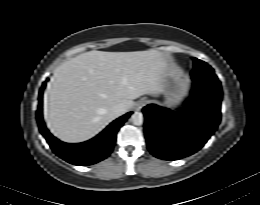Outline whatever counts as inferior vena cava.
Here are the masks:
<instances>
[{
  "label": "inferior vena cava",
  "instance_id": "602c4592",
  "mask_svg": "<svg viewBox=\"0 0 260 205\" xmlns=\"http://www.w3.org/2000/svg\"><path fill=\"white\" fill-rule=\"evenodd\" d=\"M127 111V108L125 105L123 104H118V105H115L112 110H111V113L114 117H118L122 114H124L125 112Z\"/></svg>",
  "mask_w": 260,
  "mask_h": 205
}]
</instances>
